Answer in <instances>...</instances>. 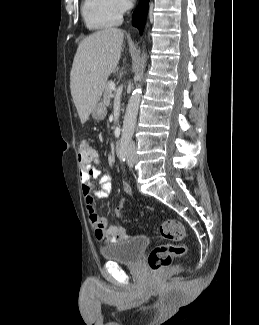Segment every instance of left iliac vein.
I'll use <instances>...</instances> for the list:
<instances>
[{
	"label": "left iliac vein",
	"mask_w": 259,
	"mask_h": 325,
	"mask_svg": "<svg viewBox=\"0 0 259 325\" xmlns=\"http://www.w3.org/2000/svg\"><path fill=\"white\" fill-rule=\"evenodd\" d=\"M127 164L129 167H133V165H134V153L132 150H129V152H128Z\"/></svg>",
	"instance_id": "obj_1"
}]
</instances>
